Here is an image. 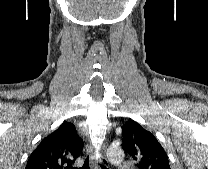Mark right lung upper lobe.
Returning <instances> with one entry per match:
<instances>
[{"mask_svg":"<svg viewBox=\"0 0 208 169\" xmlns=\"http://www.w3.org/2000/svg\"><path fill=\"white\" fill-rule=\"evenodd\" d=\"M83 149L75 126L64 122L45 137L30 155L25 169H71Z\"/></svg>","mask_w":208,"mask_h":169,"instance_id":"1","label":"right lung upper lobe"}]
</instances>
